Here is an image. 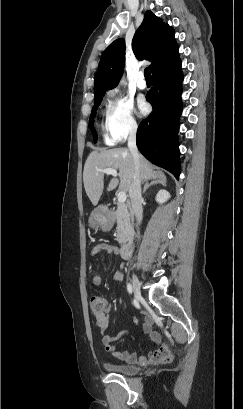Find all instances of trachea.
<instances>
[{
    "instance_id": "obj_1",
    "label": "trachea",
    "mask_w": 243,
    "mask_h": 409,
    "mask_svg": "<svg viewBox=\"0 0 243 409\" xmlns=\"http://www.w3.org/2000/svg\"><path fill=\"white\" fill-rule=\"evenodd\" d=\"M144 76H145V79L146 80H151L152 78H151V73H150V68H145V70H144Z\"/></svg>"
}]
</instances>
